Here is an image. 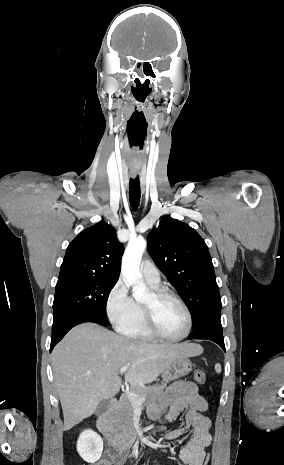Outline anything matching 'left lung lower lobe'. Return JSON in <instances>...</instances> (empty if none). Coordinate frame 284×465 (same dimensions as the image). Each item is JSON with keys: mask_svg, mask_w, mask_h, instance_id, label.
<instances>
[{"mask_svg": "<svg viewBox=\"0 0 284 465\" xmlns=\"http://www.w3.org/2000/svg\"><path fill=\"white\" fill-rule=\"evenodd\" d=\"M188 339H208L217 343L225 351L220 317L204 320L197 328L193 329Z\"/></svg>", "mask_w": 284, "mask_h": 465, "instance_id": "1", "label": "left lung lower lobe"}]
</instances>
